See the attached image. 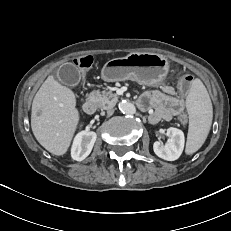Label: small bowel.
Here are the masks:
<instances>
[{
	"label": "small bowel",
	"instance_id": "small-bowel-1",
	"mask_svg": "<svg viewBox=\"0 0 231 231\" xmlns=\"http://www.w3.org/2000/svg\"><path fill=\"white\" fill-rule=\"evenodd\" d=\"M141 109L151 110L149 121L153 124L170 121L184 115L185 102L173 95V88L165 84L161 90L145 92L139 99Z\"/></svg>",
	"mask_w": 231,
	"mask_h": 231
}]
</instances>
